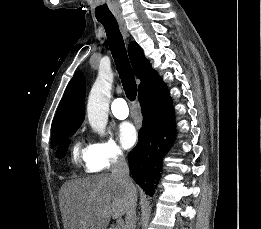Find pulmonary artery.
<instances>
[{
	"mask_svg": "<svg viewBox=\"0 0 261 229\" xmlns=\"http://www.w3.org/2000/svg\"><path fill=\"white\" fill-rule=\"evenodd\" d=\"M112 113L119 120H124L129 116V109L124 99L118 98L113 101Z\"/></svg>",
	"mask_w": 261,
	"mask_h": 229,
	"instance_id": "1",
	"label": "pulmonary artery"
}]
</instances>
